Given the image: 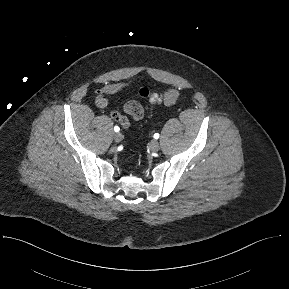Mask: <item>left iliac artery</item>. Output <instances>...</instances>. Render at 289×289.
Returning a JSON list of instances; mask_svg holds the SVG:
<instances>
[{
	"label": "left iliac artery",
	"mask_w": 289,
	"mask_h": 289,
	"mask_svg": "<svg viewBox=\"0 0 289 289\" xmlns=\"http://www.w3.org/2000/svg\"><path fill=\"white\" fill-rule=\"evenodd\" d=\"M153 137H154L155 139H158V138H159V133H155Z\"/></svg>",
	"instance_id": "left-iliac-artery-1"
}]
</instances>
